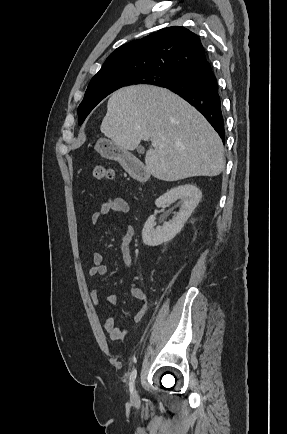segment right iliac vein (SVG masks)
Returning a JSON list of instances; mask_svg holds the SVG:
<instances>
[{
  "instance_id": "right-iliac-vein-1",
  "label": "right iliac vein",
  "mask_w": 287,
  "mask_h": 434,
  "mask_svg": "<svg viewBox=\"0 0 287 434\" xmlns=\"http://www.w3.org/2000/svg\"><path fill=\"white\" fill-rule=\"evenodd\" d=\"M131 397L133 399H137L138 398V391L136 390V388L133 386L132 391H131Z\"/></svg>"
}]
</instances>
